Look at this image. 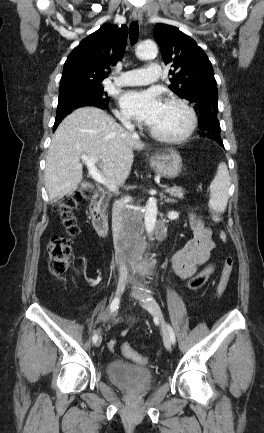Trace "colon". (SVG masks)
Wrapping results in <instances>:
<instances>
[{
    "label": "colon",
    "instance_id": "obj_1",
    "mask_svg": "<svg viewBox=\"0 0 264 433\" xmlns=\"http://www.w3.org/2000/svg\"><path fill=\"white\" fill-rule=\"evenodd\" d=\"M88 197V191L78 190L65 196L57 204V212L66 228L67 236H54L48 243V266L51 273L55 276L63 275L67 271L69 263L73 258L74 249L72 238L78 233V226L73 215V210L85 202ZM212 218L216 223L221 221V217L217 213H213ZM219 239L225 243L227 241L226 233L221 231L219 233ZM233 266V258L231 256L226 257L223 262L222 272L216 290L217 296L219 297L224 294L228 286ZM213 272V266L206 267L189 280L187 287L190 290L201 288L210 279ZM122 351L126 357L134 362L140 364L147 362L146 357L133 350L127 342L123 343Z\"/></svg>",
    "mask_w": 264,
    "mask_h": 433
}]
</instances>
